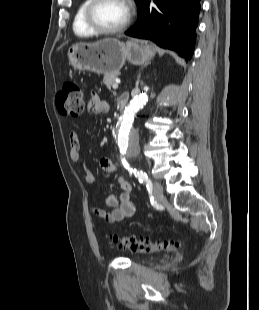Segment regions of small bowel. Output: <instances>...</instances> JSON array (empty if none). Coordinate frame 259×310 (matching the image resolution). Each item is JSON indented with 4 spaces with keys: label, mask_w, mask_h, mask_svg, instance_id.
<instances>
[{
    "label": "small bowel",
    "mask_w": 259,
    "mask_h": 310,
    "mask_svg": "<svg viewBox=\"0 0 259 310\" xmlns=\"http://www.w3.org/2000/svg\"><path fill=\"white\" fill-rule=\"evenodd\" d=\"M88 106L96 114L107 113L110 109L108 103L101 100L96 93L91 94ZM69 139L71 160L77 163L82 162L79 133L77 131H71ZM99 166L106 173L112 174L116 171L114 162L109 158H101L99 160ZM83 180L87 184H94L96 181L94 174L87 167H84L83 170ZM118 184L123 192L118 197L115 194H110L106 198V205L112 208L111 211L99 207L93 208L94 214L108 223H116L131 218L136 211L135 203L130 196L132 189L131 183L125 178H119Z\"/></svg>",
    "instance_id": "c3829d8e"
}]
</instances>
